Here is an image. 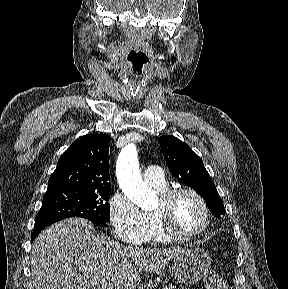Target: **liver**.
<instances>
[{"label":"liver","instance_id":"liver-1","mask_svg":"<svg viewBox=\"0 0 288 289\" xmlns=\"http://www.w3.org/2000/svg\"><path fill=\"white\" fill-rule=\"evenodd\" d=\"M183 250L127 247L97 236L86 219L67 218L34 241L31 275L35 289H135L140 272L163 269Z\"/></svg>","mask_w":288,"mask_h":289}]
</instances>
